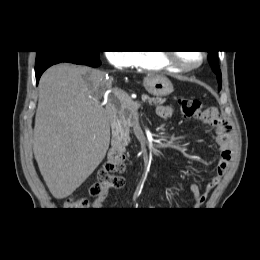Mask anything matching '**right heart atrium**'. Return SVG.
I'll return each mask as SVG.
<instances>
[{"label":"right heart atrium","instance_id":"obj_1","mask_svg":"<svg viewBox=\"0 0 260 260\" xmlns=\"http://www.w3.org/2000/svg\"><path fill=\"white\" fill-rule=\"evenodd\" d=\"M135 53L132 51H109L106 57L110 64L118 69L129 68L134 65Z\"/></svg>","mask_w":260,"mask_h":260}]
</instances>
